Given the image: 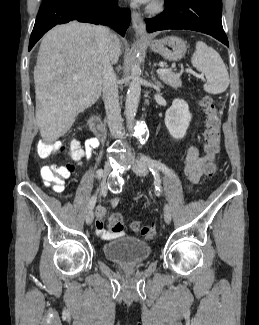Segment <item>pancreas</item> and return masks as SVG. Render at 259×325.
I'll list each match as a JSON object with an SVG mask.
<instances>
[{
	"label": "pancreas",
	"instance_id": "obj_1",
	"mask_svg": "<svg viewBox=\"0 0 259 325\" xmlns=\"http://www.w3.org/2000/svg\"><path fill=\"white\" fill-rule=\"evenodd\" d=\"M166 73L159 74V78L167 85L178 88L182 86V81L180 79V73H174L171 69H167Z\"/></svg>",
	"mask_w": 259,
	"mask_h": 325
}]
</instances>
